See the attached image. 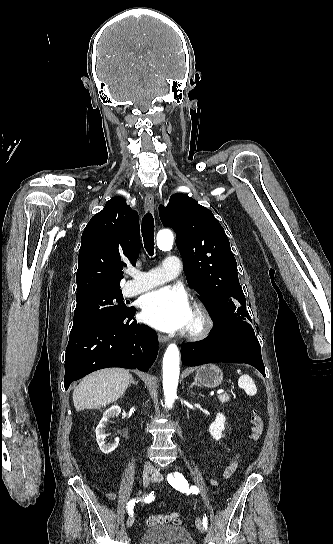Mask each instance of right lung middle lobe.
I'll return each mask as SVG.
<instances>
[{
	"label": "right lung middle lobe",
	"instance_id": "dd1d6c3e",
	"mask_svg": "<svg viewBox=\"0 0 333 544\" xmlns=\"http://www.w3.org/2000/svg\"><path fill=\"white\" fill-rule=\"evenodd\" d=\"M76 300L74 323L69 338L121 317L133 308L126 306L121 290L100 292Z\"/></svg>",
	"mask_w": 333,
	"mask_h": 544
}]
</instances>
